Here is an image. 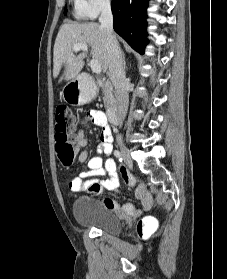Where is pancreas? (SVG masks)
Instances as JSON below:
<instances>
[{"label": "pancreas", "instance_id": "obj_1", "mask_svg": "<svg viewBox=\"0 0 227 279\" xmlns=\"http://www.w3.org/2000/svg\"><path fill=\"white\" fill-rule=\"evenodd\" d=\"M102 92L104 94L103 101L105 106L108 108L115 103V97L110 83H105L102 86Z\"/></svg>", "mask_w": 227, "mask_h": 279}]
</instances>
